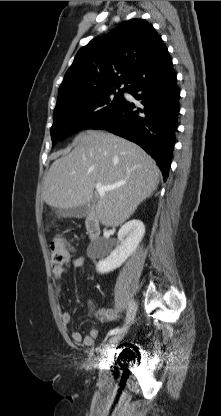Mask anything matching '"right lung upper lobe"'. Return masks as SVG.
Masks as SVG:
<instances>
[{
  "mask_svg": "<svg viewBox=\"0 0 221 416\" xmlns=\"http://www.w3.org/2000/svg\"><path fill=\"white\" fill-rule=\"evenodd\" d=\"M171 70L168 49L154 27L131 19L78 51L59 88L56 106L121 85L130 90L141 82L166 78Z\"/></svg>",
  "mask_w": 221,
  "mask_h": 416,
  "instance_id": "obj_1",
  "label": "right lung upper lobe"
}]
</instances>
